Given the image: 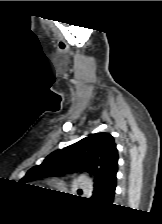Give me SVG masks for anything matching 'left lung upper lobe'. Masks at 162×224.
<instances>
[{
  "instance_id": "1",
  "label": "left lung upper lobe",
  "mask_w": 162,
  "mask_h": 224,
  "mask_svg": "<svg viewBox=\"0 0 162 224\" xmlns=\"http://www.w3.org/2000/svg\"><path fill=\"white\" fill-rule=\"evenodd\" d=\"M118 151L108 133H95L48 155L43 163L31 168L21 181L28 182L48 174H67L82 170L94 175L95 186L101 185L118 166Z\"/></svg>"
}]
</instances>
